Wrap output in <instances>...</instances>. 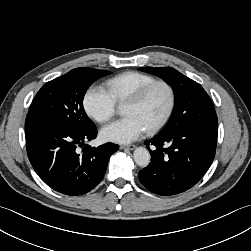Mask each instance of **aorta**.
I'll return each mask as SVG.
<instances>
[{"mask_svg":"<svg viewBox=\"0 0 251 251\" xmlns=\"http://www.w3.org/2000/svg\"><path fill=\"white\" fill-rule=\"evenodd\" d=\"M133 158L135 163L140 167H146L150 163V153L144 147H138L134 150Z\"/></svg>","mask_w":251,"mask_h":251,"instance_id":"762f6f07","label":"aorta"}]
</instances>
